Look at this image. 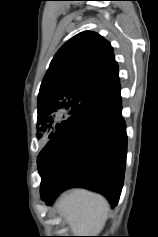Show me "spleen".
<instances>
[{
	"label": "spleen",
	"instance_id": "spleen-1",
	"mask_svg": "<svg viewBox=\"0 0 158 237\" xmlns=\"http://www.w3.org/2000/svg\"><path fill=\"white\" fill-rule=\"evenodd\" d=\"M60 211L65 215L76 236H93L103 229L109 212L107 200L84 189H75L65 196L60 204Z\"/></svg>",
	"mask_w": 158,
	"mask_h": 237
}]
</instances>
